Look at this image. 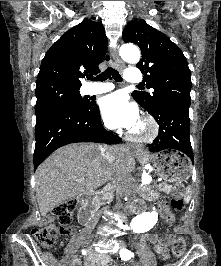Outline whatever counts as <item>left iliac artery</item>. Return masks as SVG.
<instances>
[{
  "label": "left iliac artery",
  "instance_id": "obj_1",
  "mask_svg": "<svg viewBox=\"0 0 221 266\" xmlns=\"http://www.w3.org/2000/svg\"><path fill=\"white\" fill-rule=\"evenodd\" d=\"M120 257L122 260H128L131 257H134V254L131 253L129 250L123 248L120 250Z\"/></svg>",
  "mask_w": 221,
  "mask_h": 266
}]
</instances>
